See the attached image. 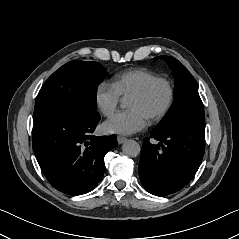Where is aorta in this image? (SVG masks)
Instances as JSON below:
<instances>
[{
    "mask_svg": "<svg viewBox=\"0 0 239 239\" xmlns=\"http://www.w3.org/2000/svg\"><path fill=\"white\" fill-rule=\"evenodd\" d=\"M141 147L135 140H127L122 145V152L128 157H136L139 155Z\"/></svg>",
    "mask_w": 239,
    "mask_h": 239,
    "instance_id": "aorta-1",
    "label": "aorta"
}]
</instances>
